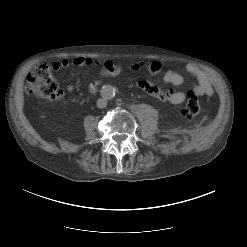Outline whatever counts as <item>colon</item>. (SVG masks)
<instances>
[{
    "label": "colon",
    "mask_w": 247,
    "mask_h": 247,
    "mask_svg": "<svg viewBox=\"0 0 247 247\" xmlns=\"http://www.w3.org/2000/svg\"><path fill=\"white\" fill-rule=\"evenodd\" d=\"M99 70L102 75H116L121 69L111 61L100 63ZM26 92L28 95L52 100L60 95L57 81L54 79L48 64L38 65L27 78ZM201 95L194 89L187 93L185 104L181 108V114L186 118H192L200 112Z\"/></svg>",
    "instance_id": "1"
}]
</instances>
